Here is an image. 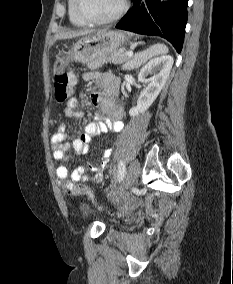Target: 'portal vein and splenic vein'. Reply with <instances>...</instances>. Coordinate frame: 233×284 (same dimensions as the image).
I'll use <instances>...</instances> for the list:
<instances>
[{
  "instance_id": "18ae733b",
  "label": "portal vein and splenic vein",
  "mask_w": 233,
  "mask_h": 284,
  "mask_svg": "<svg viewBox=\"0 0 233 284\" xmlns=\"http://www.w3.org/2000/svg\"><path fill=\"white\" fill-rule=\"evenodd\" d=\"M127 56L128 57H132L133 56V52L132 51L127 52Z\"/></svg>"
}]
</instances>
